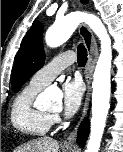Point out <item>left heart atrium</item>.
<instances>
[{
	"label": "left heart atrium",
	"instance_id": "1",
	"mask_svg": "<svg viewBox=\"0 0 123 152\" xmlns=\"http://www.w3.org/2000/svg\"><path fill=\"white\" fill-rule=\"evenodd\" d=\"M83 89L77 80L66 81L63 85V112L66 117L74 115L80 107Z\"/></svg>",
	"mask_w": 123,
	"mask_h": 152
}]
</instances>
